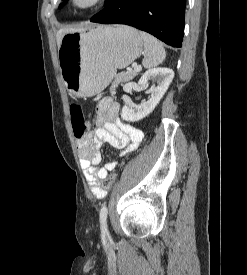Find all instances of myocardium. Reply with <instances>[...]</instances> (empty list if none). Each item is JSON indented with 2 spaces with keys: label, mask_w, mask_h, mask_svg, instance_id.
<instances>
[{
  "label": "myocardium",
  "mask_w": 247,
  "mask_h": 275,
  "mask_svg": "<svg viewBox=\"0 0 247 275\" xmlns=\"http://www.w3.org/2000/svg\"><path fill=\"white\" fill-rule=\"evenodd\" d=\"M106 0H90L88 3L81 5L77 0H69L70 6L77 11H89L102 5Z\"/></svg>",
  "instance_id": "obj_1"
}]
</instances>
